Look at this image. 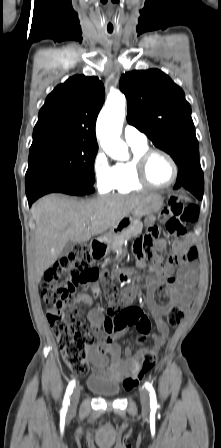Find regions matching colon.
I'll use <instances>...</instances> for the list:
<instances>
[{
	"label": "colon",
	"instance_id": "colon-1",
	"mask_svg": "<svg viewBox=\"0 0 221 448\" xmlns=\"http://www.w3.org/2000/svg\"><path fill=\"white\" fill-rule=\"evenodd\" d=\"M163 217L166 220V229L169 233L178 237L186 234V226L197 220L198 209L190 200L182 195H172L168 201V207ZM151 238L145 239V244L138 249L140 258L150 255L149 247ZM196 249L187 248L178 255L179 262L191 263L196 259ZM99 272L91 265L89 246L79 244L63 258L55 267L48 270L41 286L43 301L53 309L48 314V320L58 338L59 348L69 368L78 373L86 374L89 365L86 359V348L91 343L92 337L87 326L80 321L79 312L71 308L74 304L75 293L89 284L96 283ZM168 283L173 282L172 277L167 278ZM106 295L110 302L118 303L114 287L108 282ZM125 320L120 325L129 324L136 327L138 332L137 342L144 345L147 336L151 332V322L146 313L138 307L129 306L123 310ZM183 317V310L179 307L171 309L168 315V323L178 325ZM116 328L111 322L105 324L107 331ZM156 356L149 351L144 361L134 368L130 375L124 379L123 387L131 390L137 386L144 375L154 366Z\"/></svg>",
	"mask_w": 221,
	"mask_h": 448
}]
</instances>
